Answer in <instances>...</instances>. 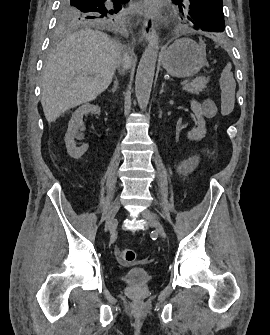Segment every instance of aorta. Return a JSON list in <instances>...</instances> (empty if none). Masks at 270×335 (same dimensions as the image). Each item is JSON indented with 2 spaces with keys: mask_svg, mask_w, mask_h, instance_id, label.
I'll return each instance as SVG.
<instances>
[{
  "mask_svg": "<svg viewBox=\"0 0 270 335\" xmlns=\"http://www.w3.org/2000/svg\"><path fill=\"white\" fill-rule=\"evenodd\" d=\"M159 50V38L155 32L153 40H150L137 68L135 80V94L141 110L148 106L151 88L153 84L155 66Z\"/></svg>",
  "mask_w": 270,
  "mask_h": 335,
  "instance_id": "762f6f07",
  "label": "aorta"
}]
</instances>
